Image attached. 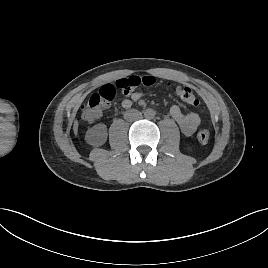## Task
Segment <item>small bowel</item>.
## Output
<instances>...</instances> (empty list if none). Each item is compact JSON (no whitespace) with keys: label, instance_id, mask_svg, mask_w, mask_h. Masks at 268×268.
I'll use <instances>...</instances> for the list:
<instances>
[{"label":"small bowel","instance_id":"c3829d8e","mask_svg":"<svg viewBox=\"0 0 268 268\" xmlns=\"http://www.w3.org/2000/svg\"><path fill=\"white\" fill-rule=\"evenodd\" d=\"M142 96L143 94L138 91L131 93L129 97L122 101V107L130 108L133 102L140 100ZM170 114L185 136H191L201 126V118L197 113L185 114L179 105H173Z\"/></svg>","mask_w":268,"mask_h":268}]
</instances>
